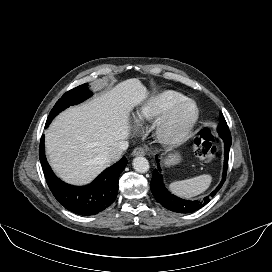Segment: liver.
Instances as JSON below:
<instances>
[{
    "label": "liver",
    "instance_id": "liver-1",
    "mask_svg": "<svg viewBox=\"0 0 272 272\" xmlns=\"http://www.w3.org/2000/svg\"><path fill=\"white\" fill-rule=\"evenodd\" d=\"M147 97L135 78L62 112L45 135L46 153L53 170L66 182L86 184L109 163L102 154L130 134L129 114Z\"/></svg>",
    "mask_w": 272,
    "mask_h": 272
}]
</instances>
